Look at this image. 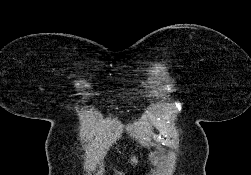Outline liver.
Here are the masks:
<instances>
[{
  "label": "liver",
  "instance_id": "obj_1",
  "mask_svg": "<svg viewBox=\"0 0 251 175\" xmlns=\"http://www.w3.org/2000/svg\"><path fill=\"white\" fill-rule=\"evenodd\" d=\"M130 161H134V163H137L136 157H132V159H130Z\"/></svg>",
  "mask_w": 251,
  "mask_h": 175
}]
</instances>
